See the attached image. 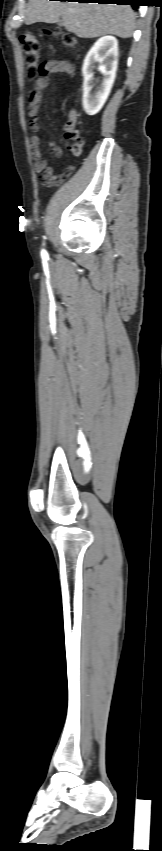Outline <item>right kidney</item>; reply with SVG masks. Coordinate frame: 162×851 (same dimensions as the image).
Instances as JSON below:
<instances>
[{
    "label": "right kidney",
    "instance_id": "1",
    "mask_svg": "<svg viewBox=\"0 0 162 851\" xmlns=\"http://www.w3.org/2000/svg\"><path fill=\"white\" fill-rule=\"evenodd\" d=\"M96 63H100L99 71L103 75L102 83L97 86L93 82ZM118 65V42L113 36H103L98 39L87 53L82 66L83 109L88 115L97 114L106 102L113 86ZM94 91L92 92V90Z\"/></svg>",
    "mask_w": 162,
    "mask_h": 851
}]
</instances>
